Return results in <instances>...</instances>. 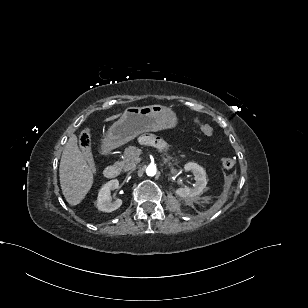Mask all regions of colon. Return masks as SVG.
<instances>
[{"mask_svg":"<svg viewBox=\"0 0 308 308\" xmlns=\"http://www.w3.org/2000/svg\"><path fill=\"white\" fill-rule=\"evenodd\" d=\"M200 130L206 136H212L214 129L205 123H199ZM79 146L82 151L83 157L90 168H94V159L91 153V132L88 128L81 131L79 135ZM223 168L231 169L235 165V160L231 157H224L221 161Z\"/></svg>","mask_w":308,"mask_h":308,"instance_id":"1","label":"colon"}]
</instances>
